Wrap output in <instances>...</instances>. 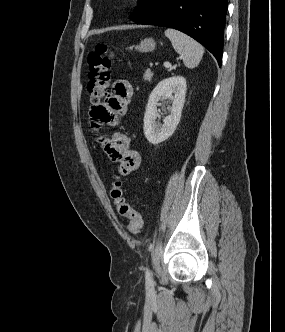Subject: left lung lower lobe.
<instances>
[{
	"label": "left lung lower lobe",
	"instance_id": "obj_1",
	"mask_svg": "<svg viewBox=\"0 0 285 332\" xmlns=\"http://www.w3.org/2000/svg\"><path fill=\"white\" fill-rule=\"evenodd\" d=\"M227 7V0H160L134 22L184 32L207 48L221 66Z\"/></svg>",
	"mask_w": 285,
	"mask_h": 332
}]
</instances>
